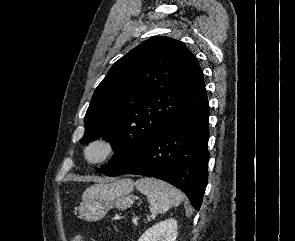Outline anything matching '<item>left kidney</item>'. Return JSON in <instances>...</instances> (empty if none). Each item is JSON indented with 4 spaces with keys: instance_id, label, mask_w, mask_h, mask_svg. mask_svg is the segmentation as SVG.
Instances as JSON below:
<instances>
[{
    "instance_id": "obj_1",
    "label": "left kidney",
    "mask_w": 295,
    "mask_h": 241,
    "mask_svg": "<svg viewBox=\"0 0 295 241\" xmlns=\"http://www.w3.org/2000/svg\"><path fill=\"white\" fill-rule=\"evenodd\" d=\"M177 234V221L171 218L149 228L138 241H176Z\"/></svg>"
}]
</instances>
